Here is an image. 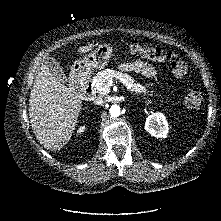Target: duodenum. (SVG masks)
<instances>
[{
    "label": "duodenum",
    "instance_id": "1",
    "mask_svg": "<svg viewBox=\"0 0 221 221\" xmlns=\"http://www.w3.org/2000/svg\"><path fill=\"white\" fill-rule=\"evenodd\" d=\"M82 96L84 99L91 101L95 98V91L90 82H85L82 88Z\"/></svg>",
    "mask_w": 221,
    "mask_h": 221
}]
</instances>
